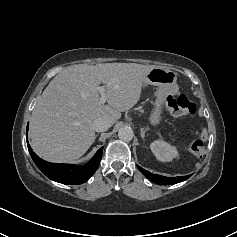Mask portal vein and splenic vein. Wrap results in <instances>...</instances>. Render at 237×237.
I'll return each instance as SVG.
<instances>
[{"instance_id": "1", "label": "portal vein and splenic vein", "mask_w": 237, "mask_h": 237, "mask_svg": "<svg viewBox=\"0 0 237 237\" xmlns=\"http://www.w3.org/2000/svg\"><path fill=\"white\" fill-rule=\"evenodd\" d=\"M96 89L101 95L99 103L104 104L106 102L105 86H98Z\"/></svg>"}]
</instances>
